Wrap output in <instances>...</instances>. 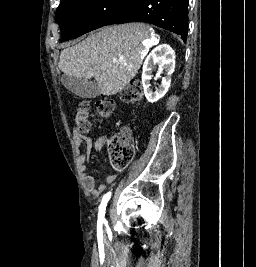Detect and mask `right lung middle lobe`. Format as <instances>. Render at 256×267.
Masks as SVG:
<instances>
[{"label": "right lung middle lobe", "instance_id": "1", "mask_svg": "<svg viewBox=\"0 0 256 267\" xmlns=\"http://www.w3.org/2000/svg\"><path fill=\"white\" fill-rule=\"evenodd\" d=\"M138 0H61L56 18L62 40L77 38L129 14Z\"/></svg>", "mask_w": 256, "mask_h": 267}]
</instances>
